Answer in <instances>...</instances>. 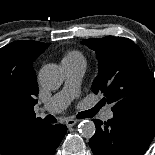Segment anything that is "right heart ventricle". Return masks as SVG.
Segmentation results:
<instances>
[{"mask_svg":"<svg viewBox=\"0 0 155 155\" xmlns=\"http://www.w3.org/2000/svg\"><path fill=\"white\" fill-rule=\"evenodd\" d=\"M62 61H83L85 62L84 55L78 50L68 52Z\"/></svg>","mask_w":155,"mask_h":155,"instance_id":"obj_1","label":"right heart ventricle"}]
</instances>
